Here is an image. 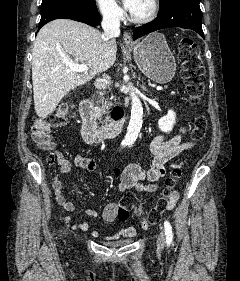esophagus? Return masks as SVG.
<instances>
[{
	"mask_svg": "<svg viewBox=\"0 0 240 281\" xmlns=\"http://www.w3.org/2000/svg\"><path fill=\"white\" fill-rule=\"evenodd\" d=\"M123 42L126 46H134V41L128 32L123 33Z\"/></svg>",
	"mask_w": 240,
	"mask_h": 281,
	"instance_id": "1",
	"label": "esophagus"
}]
</instances>
